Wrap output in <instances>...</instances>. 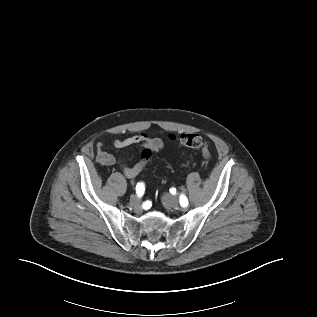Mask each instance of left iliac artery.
Returning <instances> with one entry per match:
<instances>
[{
	"label": "left iliac artery",
	"mask_w": 317,
	"mask_h": 317,
	"mask_svg": "<svg viewBox=\"0 0 317 317\" xmlns=\"http://www.w3.org/2000/svg\"><path fill=\"white\" fill-rule=\"evenodd\" d=\"M179 201H180V204H181L182 207H187L188 206V199H187L186 196L181 195Z\"/></svg>",
	"instance_id": "44dca946"
}]
</instances>
